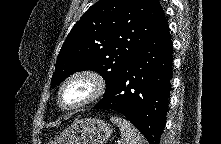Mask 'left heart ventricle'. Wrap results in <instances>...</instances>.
I'll use <instances>...</instances> for the list:
<instances>
[{
  "instance_id": "left-heart-ventricle-1",
  "label": "left heart ventricle",
  "mask_w": 221,
  "mask_h": 144,
  "mask_svg": "<svg viewBox=\"0 0 221 144\" xmlns=\"http://www.w3.org/2000/svg\"><path fill=\"white\" fill-rule=\"evenodd\" d=\"M91 91V85L86 80H77L70 83L62 94V104L65 106L74 105L85 99Z\"/></svg>"
}]
</instances>
